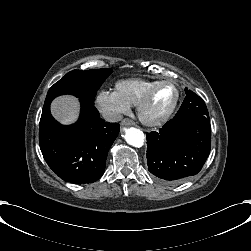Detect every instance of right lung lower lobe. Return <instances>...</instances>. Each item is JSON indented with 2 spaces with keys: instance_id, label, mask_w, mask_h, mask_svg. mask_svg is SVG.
<instances>
[{
  "instance_id": "right-lung-lower-lobe-1",
  "label": "right lung lower lobe",
  "mask_w": 251,
  "mask_h": 251,
  "mask_svg": "<svg viewBox=\"0 0 251 251\" xmlns=\"http://www.w3.org/2000/svg\"><path fill=\"white\" fill-rule=\"evenodd\" d=\"M81 115L73 125L59 124L42 110L39 144L51 170L66 182L84 184L97 181L105 171L110 146L119 133L118 123L102 120L94 104L80 99Z\"/></svg>"
}]
</instances>
